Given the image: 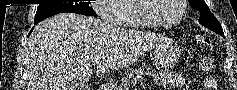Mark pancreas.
<instances>
[{
    "label": "pancreas",
    "instance_id": "pancreas-1",
    "mask_svg": "<svg viewBox=\"0 0 237 90\" xmlns=\"http://www.w3.org/2000/svg\"><path fill=\"white\" fill-rule=\"evenodd\" d=\"M145 74L146 76H152L153 72H147L145 68H136V70H131L129 74H126V78H123V84L120 88H123V86H129V84H137V82H142Z\"/></svg>",
    "mask_w": 237,
    "mask_h": 90
}]
</instances>
